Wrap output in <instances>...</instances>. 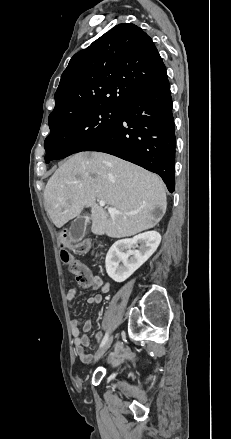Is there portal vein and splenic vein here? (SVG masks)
Segmentation results:
<instances>
[{"label":"portal vein and splenic vein","mask_w":231,"mask_h":439,"mask_svg":"<svg viewBox=\"0 0 231 439\" xmlns=\"http://www.w3.org/2000/svg\"><path fill=\"white\" fill-rule=\"evenodd\" d=\"M105 204H106V203H105L104 201H102V200L99 201V205H100V206L104 207ZM105 208L108 210V212H109L110 214H119V213H120L117 209H115V208H113V207L106 206Z\"/></svg>","instance_id":"1"}]
</instances>
